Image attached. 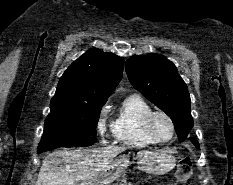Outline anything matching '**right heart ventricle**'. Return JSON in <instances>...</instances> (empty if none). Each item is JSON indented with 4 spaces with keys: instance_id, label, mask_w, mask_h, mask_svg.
<instances>
[{
    "instance_id": "right-heart-ventricle-1",
    "label": "right heart ventricle",
    "mask_w": 233,
    "mask_h": 185,
    "mask_svg": "<svg viewBox=\"0 0 233 185\" xmlns=\"http://www.w3.org/2000/svg\"><path fill=\"white\" fill-rule=\"evenodd\" d=\"M151 111L152 107L141 96L137 94L128 96L122 102L113 121L115 141L137 148L155 144L144 128V120Z\"/></svg>"
}]
</instances>
